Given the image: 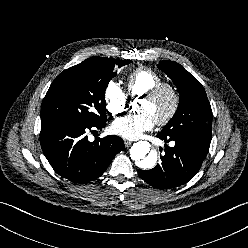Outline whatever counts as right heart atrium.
Returning <instances> with one entry per match:
<instances>
[{"label": "right heart atrium", "instance_id": "obj_1", "mask_svg": "<svg viewBox=\"0 0 248 248\" xmlns=\"http://www.w3.org/2000/svg\"><path fill=\"white\" fill-rule=\"evenodd\" d=\"M106 108L110 114L116 116L127 110L128 101L122 88L115 82H110L104 93Z\"/></svg>", "mask_w": 248, "mask_h": 248}]
</instances>
